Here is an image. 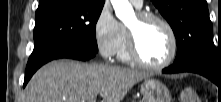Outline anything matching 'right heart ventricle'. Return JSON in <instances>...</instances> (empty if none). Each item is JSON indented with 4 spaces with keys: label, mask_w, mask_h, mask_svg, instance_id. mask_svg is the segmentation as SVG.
Returning <instances> with one entry per match:
<instances>
[{
    "label": "right heart ventricle",
    "mask_w": 221,
    "mask_h": 102,
    "mask_svg": "<svg viewBox=\"0 0 221 102\" xmlns=\"http://www.w3.org/2000/svg\"><path fill=\"white\" fill-rule=\"evenodd\" d=\"M123 30H124V39H123L121 47L118 51V56H119L120 60H122L123 62H129V61H131V58H130L128 50H127L126 30L124 29V27H123Z\"/></svg>",
    "instance_id": "1"
}]
</instances>
